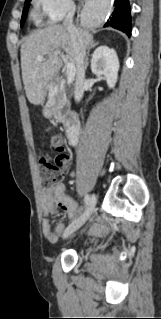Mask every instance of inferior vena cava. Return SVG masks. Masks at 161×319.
I'll return each instance as SVG.
<instances>
[{
	"label": "inferior vena cava",
	"instance_id": "inferior-vena-cava-1",
	"mask_svg": "<svg viewBox=\"0 0 161 319\" xmlns=\"http://www.w3.org/2000/svg\"><path fill=\"white\" fill-rule=\"evenodd\" d=\"M76 11L75 5H71L68 9L67 16L64 20V26L70 33L73 48L76 54V68H77V75H76V83H75V91H74V98L77 102H79L84 94V83H85V51L82 49L83 43L80 38L78 30L73 25V17Z\"/></svg>",
	"mask_w": 161,
	"mask_h": 319
}]
</instances>
